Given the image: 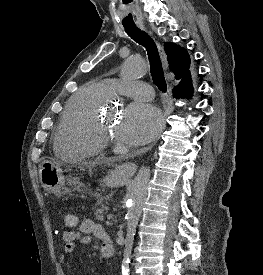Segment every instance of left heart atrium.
<instances>
[{"label": "left heart atrium", "instance_id": "39dd6f15", "mask_svg": "<svg viewBox=\"0 0 263 275\" xmlns=\"http://www.w3.org/2000/svg\"><path fill=\"white\" fill-rule=\"evenodd\" d=\"M163 119L159 109L146 102L131 103L124 112L118 135L131 144H144L160 131Z\"/></svg>", "mask_w": 263, "mask_h": 275}]
</instances>
